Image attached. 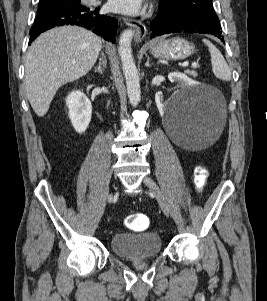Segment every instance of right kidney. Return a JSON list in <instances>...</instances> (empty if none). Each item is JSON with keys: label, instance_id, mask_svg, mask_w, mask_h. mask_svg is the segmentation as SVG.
Returning a JSON list of instances; mask_svg holds the SVG:
<instances>
[{"label": "right kidney", "instance_id": "ca27d5eb", "mask_svg": "<svg viewBox=\"0 0 267 301\" xmlns=\"http://www.w3.org/2000/svg\"><path fill=\"white\" fill-rule=\"evenodd\" d=\"M69 109V118L77 133H83L87 129L92 115L90 100L82 91L71 92L66 99Z\"/></svg>", "mask_w": 267, "mask_h": 301}]
</instances>
